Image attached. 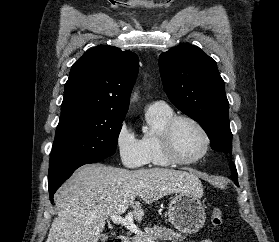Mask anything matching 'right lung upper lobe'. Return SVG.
Masks as SVG:
<instances>
[{"instance_id":"1","label":"right lung upper lobe","mask_w":279,"mask_h":242,"mask_svg":"<svg viewBox=\"0 0 279 242\" xmlns=\"http://www.w3.org/2000/svg\"><path fill=\"white\" fill-rule=\"evenodd\" d=\"M138 67V56L131 51L108 45L91 48L71 68L61 114L83 111L125 118Z\"/></svg>"}]
</instances>
